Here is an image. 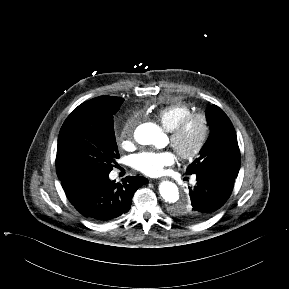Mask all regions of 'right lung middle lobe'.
Here are the masks:
<instances>
[{
  "instance_id": "1",
  "label": "right lung middle lobe",
  "mask_w": 289,
  "mask_h": 289,
  "mask_svg": "<svg viewBox=\"0 0 289 289\" xmlns=\"http://www.w3.org/2000/svg\"><path fill=\"white\" fill-rule=\"evenodd\" d=\"M124 99L100 96L79 105L61 127L57 175L61 182L107 175L119 157L113 116Z\"/></svg>"
}]
</instances>
